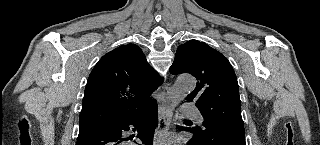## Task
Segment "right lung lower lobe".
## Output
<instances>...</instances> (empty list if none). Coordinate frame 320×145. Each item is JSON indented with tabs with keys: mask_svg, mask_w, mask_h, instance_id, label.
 <instances>
[{
	"mask_svg": "<svg viewBox=\"0 0 320 145\" xmlns=\"http://www.w3.org/2000/svg\"><path fill=\"white\" fill-rule=\"evenodd\" d=\"M131 125L137 129V137L143 144L152 145L158 125L157 103L128 121L80 128L76 145H133L129 142L131 139L124 137L125 131H129Z\"/></svg>",
	"mask_w": 320,
	"mask_h": 145,
	"instance_id": "98d812e1",
	"label": "right lung lower lobe"
}]
</instances>
